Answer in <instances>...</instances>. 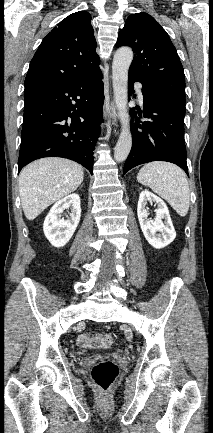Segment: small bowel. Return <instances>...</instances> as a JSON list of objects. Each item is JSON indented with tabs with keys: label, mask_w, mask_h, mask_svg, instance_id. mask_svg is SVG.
<instances>
[{
	"label": "small bowel",
	"mask_w": 213,
	"mask_h": 433,
	"mask_svg": "<svg viewBox=\"0 0 213 433\" xmlns=\"http://www.w3.org/2000/svg\"><path fill=\"white\" fill-rule=\"evenodd\" d=\"M77 343L83 348H98L105 346L102 336L95 332L81 334L77 339Z\"/></svg>",
	"instance_id": "small-bowel-1"
}]
</instances>
